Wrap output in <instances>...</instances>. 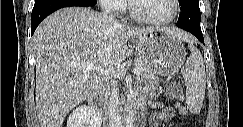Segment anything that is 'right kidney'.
Wrapping results in <instances>:
<instances>
[{
    "instance_id": "obj_1",
    "label": "right kidney",
    "mask_w": 243,
    "mask_h": 127,
    "mask_svg": "<svg viewBox=\"0 0 243 127\" xmlns=\"http://www.w3.org/2000/svg\"><path fill=\"white\" fill-rule=\"evenodd\" d=\"M101 124V115L86 105L74 109L67 120V127H101Z\"/></svg>"
}]
</instances>
